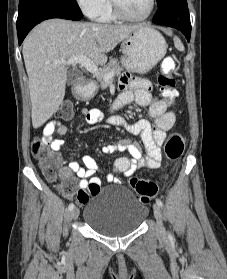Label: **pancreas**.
I'll return each instance as SVG.
<instances>
[{
  "label": "pancreas",
  "instance_id": "obj_1",
  "mask_svg": "<svg viewBox=\"0 0 227 279\" xmlns=\"http://www.w3.org/2000/svg\"><path fill=\"white\" fill-rule=\"evenodd\" d=\"M122 70L123 68L120 66L119 62L116 59H112L105 67H103L102 70L98 72L96 79L100 83V86L104 88L113 80L116 75H119ZM108 73H113V76L109 81H106L105 76Z\"/></svg>",
  "mask_w": 227,
  "mask_h": 279
}]
</instances>
